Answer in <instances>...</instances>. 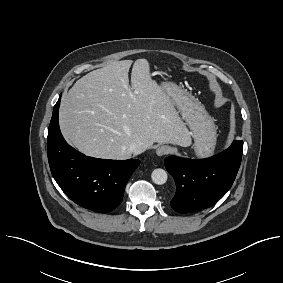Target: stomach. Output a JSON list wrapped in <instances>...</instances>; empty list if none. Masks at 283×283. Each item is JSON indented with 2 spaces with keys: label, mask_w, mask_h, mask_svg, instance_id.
<instances>
[{
  "label": "stomach",
  "mask_w": 283,
  "mask_h": 283,
  "mask_svg": "<svg viewBox=\"0 0 283 283\" xmlns=\"http://www.w3.org/2000/svg\"><path fill=\"white\" fill-rule=\"evenodd\" d=\"M162 87L190 129L194 139L195 154L200 158L211 156L217 140V127L214 119L207 113L204 106L186 90L170 82L163 83Z\"/></svg>",
  "instance_id": "0dacf381"
}]
</instances>
